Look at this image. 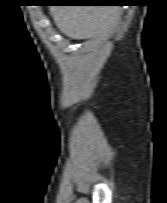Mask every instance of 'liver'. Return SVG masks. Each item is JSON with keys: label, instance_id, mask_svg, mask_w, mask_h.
I'll use <instances>...</instances> for the list:
<instances>
[{"label": "liver", "instance_id": "1", "mask_svg": "<svg viewBox=\"0 0 167 203\" xmlns=\"http://www.w3.org/2000/svg\"><path fill=\"white\" fill-rule=\"evenodd\" d=\"M50 12L58 29L72 39L100 35L119 19L116 6H55Z\"/></svg>", "mask_w": 167, "mask_h": 203}]
</instances>
